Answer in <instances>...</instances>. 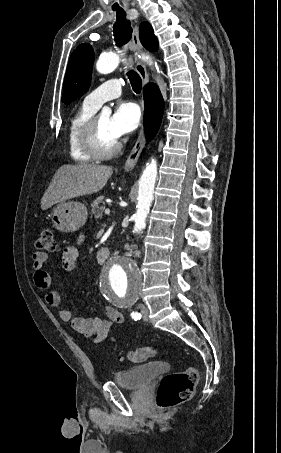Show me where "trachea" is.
<instances>
[{
  "instance_id": "trachea-1",
  "label": "trachea",
  "mask_w": 281,
  "mask_h": 453,
  "mask_svg": "<svg viewBox=\"0 0 281 453\" xmlns=\"http://www.w3.org/2000/svg\"><path fill=\"white\" fill-rule=\"evenodd\" d=\"M114 40L117 47L127 44L132 37L131 22L126 18L125 12H117V19L113 27ZM131 86L135 93H140L142 88L141 77L134 70L127 73Z\"/></svg>"
}]
</instances>
